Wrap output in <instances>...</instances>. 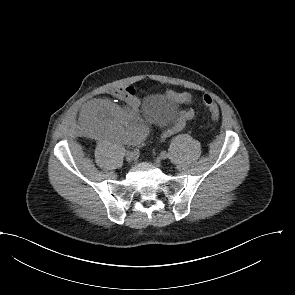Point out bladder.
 Returning a JSON list of instances; mask_svg holds the SVG:
<instances>
[{"label":"bladder","instance_id":"1","mask_svg":"<svg viewBox=\"0 0 295 295\" xmlns=\"http://www.w3.org/2000/svg\"><path fill=\"white\" fill-rule=\"evenodd\" d=\"M178 105L161 95H150L143 101L142 112L160 126L170 125L177 117Z\"/></svg>","mask_w":295,"mask_h":295}]
</instances>
